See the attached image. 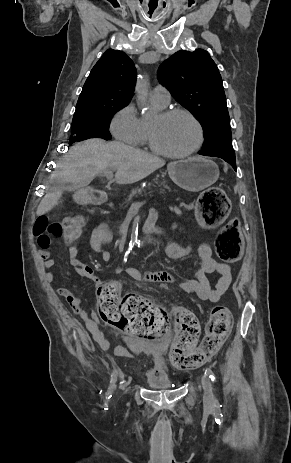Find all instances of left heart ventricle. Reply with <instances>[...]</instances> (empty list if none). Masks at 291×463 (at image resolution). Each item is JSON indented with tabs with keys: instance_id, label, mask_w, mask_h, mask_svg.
I'll return each mask as SVG.
<instances>
[{
	"instance_id": "left-heart-ventricle-1",
	"label": "left heart ventricle",
	"mask_w": 291,
	"mask_h": 463,
	"mask_svg": "<svg viewBox=\"0 0 291 463\" xmlns=\"http://www.w3.org/2000/svg\"><path fill=\"white\" fill-rule=\"evenodd\" d=\"M158 145L171 152H184L195 145L198 131L195 124L184 115L165 118L159 115L150 122Z\"/></svg>"
}]
</instances>
